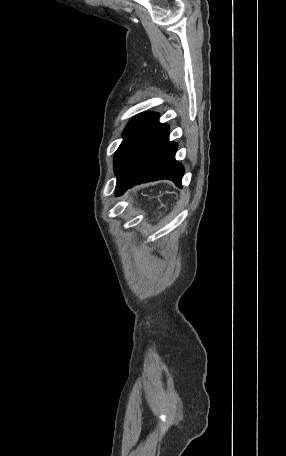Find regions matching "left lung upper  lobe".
I'll return each mask as SVG.
<instances>
[{
  "instance_id": "left-lung-upper-lobe-1",
  "label": "left lung upper lobe",
  "mask_w": 286,
  "mask_h": 456,
  "mask_svg": "<svg viewBox=\"0 0 286 456\" xmlns=\"http://www.w3.org/2000/svg\"><path fill=\"white\" fill-rule=\"evenodd\" d=\"M159 115L154 112L142 113L133 118L126 126L123 135L124 139L117 149L114 156V171L119 169L123 158L125 157L129 147L138 138V136L149 127Z\"/></svg>"
}]
</instances>
